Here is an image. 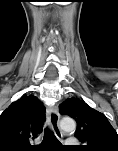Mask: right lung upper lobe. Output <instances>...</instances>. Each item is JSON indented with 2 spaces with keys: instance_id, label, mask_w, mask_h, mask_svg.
<instances>
[{
  "instance_id": "1",
  "label": "right lung upper lobe",
  "mask_w": 118,
  "mask_h": 151,
  "mask_svg": "<svg viewBox=\"0 0 118 151\" xmlns=\"http://www.w3.org/2000/svg\"><path fill=\"white\" fill-rule=\"evenodd\" d=\"M43 103L34 95H24L0 115V151H29V140L42 132Z\"/></svg>"
}]
</instances>
